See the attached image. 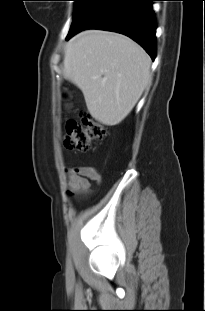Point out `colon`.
I'll return each instance as SVG.
<instances>
[{
  "label": "colon",
  "mask_w": 205,
  "mask_h": 311,
  "mask_svg": "<svg viewBox=\"0 0 205 311\" xmlns=\"http://www.w3.org/2000/svg\"><path fill=\"white\" fill-rule=\"evenodd\" d=\"M65 127V147L79 152H87L94 141L106 134L104 126L87 113H81L78 120H67Z\"/></svg>",
  "instance_id": "1"
}]
</instances>
